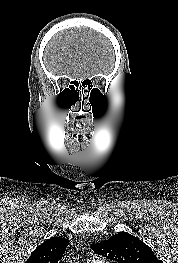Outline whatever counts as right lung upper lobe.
<instances>
[{"label": "right lung upper lobe", "instance_id": "1", "mask_svg": "<svg viewBox=\"0 0 178 263\" xmlns=\"http://www.w3.org/2000/svg\"><path fill=\"white\" fill-rule=\"evenodd\" d=\"M68 244L67 239L51 237L31 253L26 263H58Z\"/></svg>", "mask_w": 178, "mask_h": 263}]
</instances>
